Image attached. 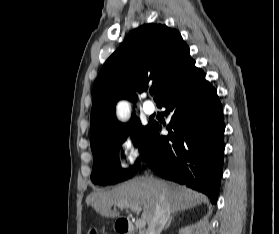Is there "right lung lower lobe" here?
I'll return each instance as SVG.
<instances>
[{"instance_id": "1", "label": "right lung lower lobe", "mask_w": 279, "mask_h": 234, "mask_svg": "<svg viewBox=\"0 0 279 234\" xmlns=\"http://www.w3.org/2000/svg\"><path fill=\"white\" fill-rule=\"evenodd\" d=\"M194 64L157 104L171 118L169 133L160 136L161 126L151 123L144 161L161 177L205 193L215 203L223 173V108Z\"/></svg>"}]
</instances>
